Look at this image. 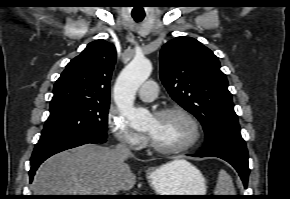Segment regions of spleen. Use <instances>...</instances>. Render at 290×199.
I'll use <instances>...</instances> for the list:
<instances>
[{
  "label": "spleen",
  "mask_w": 290,
  "mask_h": 199,
  "mask_svg": "<svg viewBox=\"0 0 290 199\" xmlns=\"http://www.w3.org/2000/svg\"><path fill=\"white\" fill-rule=\"evenodd\" d=\"M215 195H235V189L232 178L225 170H220Z\"/></svg>",
  "instance_id": "3e777b00"
}]
</instances>
